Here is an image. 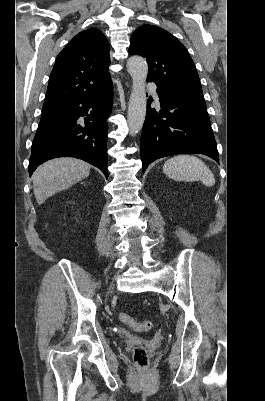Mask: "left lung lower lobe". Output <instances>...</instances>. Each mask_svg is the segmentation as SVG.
Here are the masks:
<instances>
[{"instance_id":"0a47b994","label":"left lung lower lobe","mask_w":265,"mask_h":401,"mask_svg":"<svg viewBox=\"0 0 265 401\" xmlns=\"http://www.w3.org/2000/svg\"><path fill=\"white\" fill-rule=\"evenodd\" d=\"M160 111L147 106L141 135L143 172L156 159L205 154L219 163L216 141L202 93L157 88Z\"/></svg>"}]
</instances>
